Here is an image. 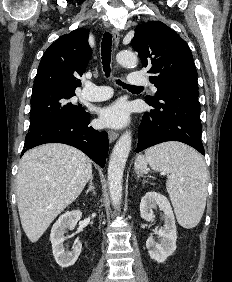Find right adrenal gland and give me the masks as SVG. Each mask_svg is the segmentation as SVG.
Returning <instances> with one entry per match:
<instances>
[{
    "label": "right adrenal gland",
    "instance_id": "1",
    "mask_svg": "<svg viewBox=\"0 0 232 282\" xmlns=\"http://www.w3.org/2000/svg\"><path fill=\"white\" fill-rule=\"evenodd\" d=\"M93 176H91V178H90V183H89V187H88V189H87V191H86V194H88L89 192H93V194L95 195V188H94V186H93Z\"/></svg>",
    "mask_w": 232,
    "mask_h": 282
}]
</instances>
